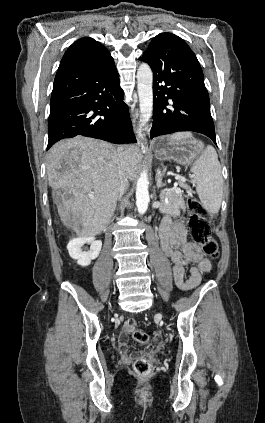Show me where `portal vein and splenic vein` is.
<instances>
[{
  "instance_id": "1",
  "label": "portal vein and splenic vein",
  "mask_w": 265,
  "mask_h": 423,
  "mask_svg": "<svg viewBox=\"0 0 265 423\" xmlns=\"http://www.w3.org/2000/svg\"><path fill=\"white\" fill-rule=\"evenodd\" d=\"M181 181L185 182L186 179L185 178H180ZM174 190H176L177 192H180L181 190L179 188L176 187V185H174L173 187ZM167 191V188L161 191V195H160V201L162 202V200L164 199V195Z\"/></svg>"
}]
</instances>
